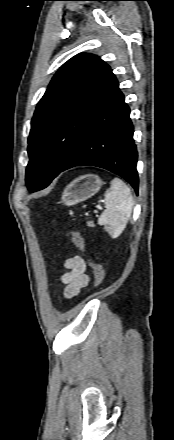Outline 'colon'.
<instances>
[{
  "instance_id": "colon-1",
  "label": "colon",
  "mask_w": 174,
  "mask_h": 440,
  "mask_svg": "<svg viewBox=\"0 0 174 440\" xmlns=\"http://www.w3.org/2000/svg\"><path fill=\"white\" fill-rule=\"evenodd\" d=\"M66 235L71 239V241L77 247V249H79L80 251L85 250V241L84 238L80 235V233L74 230H68L66 232ZM89 266L93 272L95 287L101 286L105 278V274L102 267L91 260L89 261Z\"/></svg>"
}]
</instances>
